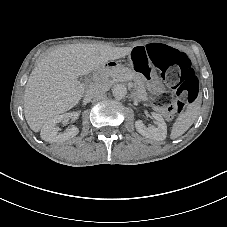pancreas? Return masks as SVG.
I'll list each match as a JSON object with an SVG mask.
<instances>
[{"label": "pancreas", "mask_w": 227, "mask_h": 227, "mask_svg": "<svg viewBox=\"0 0 227 227\" xmlns=\"http://www.w3.org/2000/svg\"><path fill=\"white\" fill-rule=\"evenodd\" d=\"M129 80L134 81L136 92L139 93V98L147 100L145 83L141 75L127 67L117 65L101 72L96 79V83L109 85L114 81L124 82Z\"/></svg>", "instance_id": "obj_1"}]
</instances>
